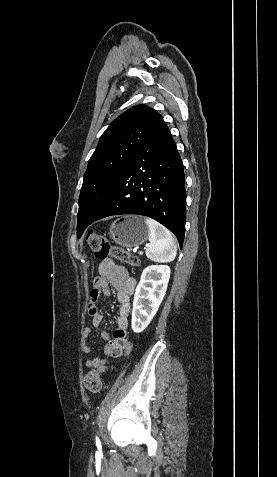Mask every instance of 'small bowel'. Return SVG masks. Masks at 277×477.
<instances>
[{"mask_svg":"<svg viewBox=\"0 0 277 477\" xmlns=\"http://www.w3.org/2000/svg\"><path fill=\"white\" fill-rule=\"evenodd\" d=\"M109 286L117 291V299L119 302V310L117 315V328L111 338L109 332L101 330L100 337L106 341L104 345L103 357H91L85 362L88 368H93L99 373H104L108 368V360L112 357H119L128 354L131 349V343L128 340L129 313L131 309L130 297L135 289L136 280L131 277L125 268L116 265L115 262L106 258L99 265V276L94 282L88 300L89 314L92 316V324L96 328H100L103 315L97 310V302L100 294L110 297L111 292ZM92 335V329L87 327L82 334V349L85 353L90 354L92 347L88 343L89 337ZM111 369L114 365L110 366Z\"/></svg>","mask_w":277,"mask_h":477,"instance_id":"small-bowel-1","label":"small bowel"}]
</instances>
